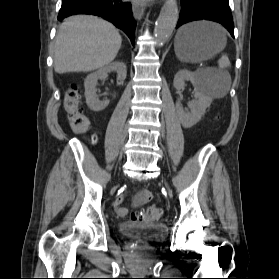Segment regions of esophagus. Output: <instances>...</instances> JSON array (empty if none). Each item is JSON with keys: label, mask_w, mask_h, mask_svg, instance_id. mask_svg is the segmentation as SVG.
I'll return each mask as SVG.
<instances>
[{"label": "esophagus", "mask_w": 279, "mask_h": 279, "mask_svg": "<svg viewBox=\"0 0 279 279\" xmlns=\"http://www.w3.org/2000/svg\"><path fill=\"white\" fill-rule=\"evenodd\" d=\"M147 5L145 0H136L132 3L133 15L136 19H141L143 17L144 11Z\"/></svg>", "instance_id": "34e87169"}]
</instances>
